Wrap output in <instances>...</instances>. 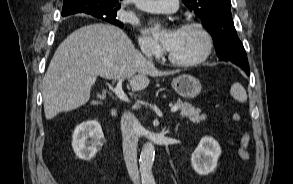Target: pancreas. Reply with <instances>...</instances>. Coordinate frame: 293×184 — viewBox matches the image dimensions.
Wrapping results in <instances>:
<instances>
[{"instance_id":"cf45deb5","label":"pancreas","mask_w":293,"mask_h":184,"mask_svg":"<svg viewBox=\"0 0 293 184\" xmlns=\"http://www.w3.org/2000/svg\"><path fill=\"white\" fill-rule=\"evenodd\" d=\"M180 109V115L183 117H188L194 123H200L206 119V115H200L201 110L195 108L187 102H182L180 99L175 104Z\"/></svg>"}]
</instances>
